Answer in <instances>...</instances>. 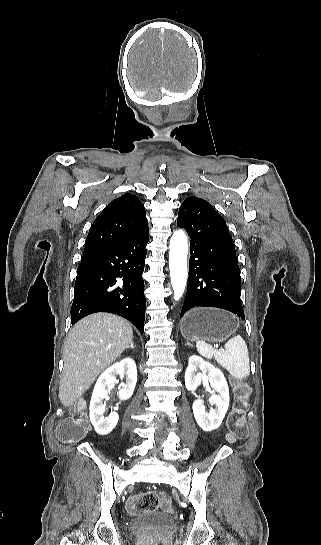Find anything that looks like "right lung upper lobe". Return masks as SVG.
<instances>
[{"mask_svg":"<svg viewBox=\"0 0 321 545\" xmlns=\"http://www.w3.org/2000/svg\"><path fill=\"white\" fill-rule=\"evenodd\" d=\"M146 230L148 220L141 201L135 195L125 194L110 202L95 219L84 253L126 242Z\"/></svg>","mask_w":321,"mask_h":545,"instance_id":"right-lung-upper-lobe-1","label":"right lung upper lobe"}]
</instances>
